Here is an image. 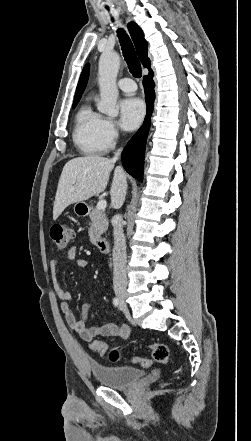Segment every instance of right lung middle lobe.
Returning <instances> with one entry per match:
<instances>
[{"mask_svg":"<svg viewBox=\"0 0 251 441\" xmlns=\"http://www.w3.org/2000/svg\"><path fill=\"white\" fill-rule=\"evenodd\" d=\"M78 102H79V101H74V102H73V108L76 107V105L78 104Z\"/></svg>","mask_w":251,"mask_h":441,"instance_id":"obj_1","label":"right lung middle lobe"}]
</instances>
